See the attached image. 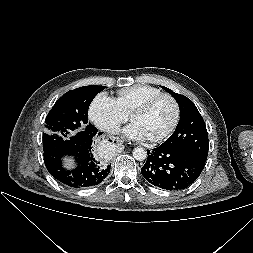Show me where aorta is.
Instances as JSON below:
<instances>
[{
    "mask_svg": "<svg viewBox=\"0 0 253 253\" xmlns=\"http://www.w3.org/2000/svg\"><path fill=\"white\" fill-rule=\"evenodd\" d=\"M133 157L137 161H143L147 158V151L143 147H137L133 150Z\"/></svg>",
    "mask_w": 253,
    "mask_h": 253,
    "instance_id": "762f6f07",
    "label": "aorta"
}]
</instances>
